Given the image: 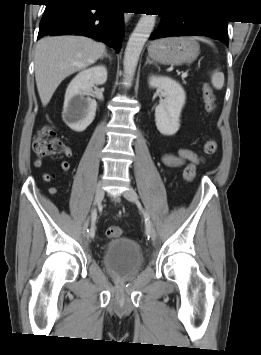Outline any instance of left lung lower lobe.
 Returning a JSON list of instances; mask_svg holds the SVG:
<instances>
[{
	"instance_id": "left-lung-lower-lobe-1",
	"label": "left lung lower lobe",
	"mask_w": 261,
	"mask_h": 355,
	"mask_svg": "<svg viewBox=\"0 0 261 355\" xmlns=\"http://www.w3.org/2000/svg\"><path fill=\"white\" fill-rule=\"evenodd\" d=\"M228 21L224 19H198L177 15H164L150 39L170 36H208L228 45Z\"/></svg>"
}]
</instances>
